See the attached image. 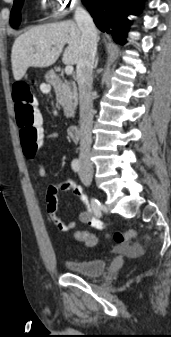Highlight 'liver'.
Instances as JSON below:
<instances>
[{"mask_svg": "<svg viewBox=\"0 0 171 337\" xmlns=\"http://www.w3.org/2000/svg\"><path fill=\"white\" fill-rule=\"evenodd\" d=\"M66 44L63 63L77 64L81 31L77 23L71 20L33 27L19 35L11 53L14 79L21 80L29 67H49L54 64Z\"/></svg>", "mask_w": 171, "mask_h": 337, "instance_id": "liver-1", "label": "liver"}]
</instances>
